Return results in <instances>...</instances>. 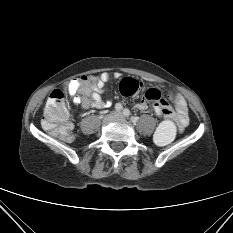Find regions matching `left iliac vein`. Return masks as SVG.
Here are the masks:
<instances>
[{
    "label": "left iliac vein",
    "instance_id": "4c4485c4",
    "mask_svg": "<svg viewBox=\"0 0 233 233\" xmlns=\"http://www.w3.org/2000/svg\"><path fill=\"white\" fill-rule=\"evenodd\" d=\"M122 114H117V117L116 118H122Z\"/></svg>",
    "mask_w": 233,
    "mask_h": 233
}]
</instances>
